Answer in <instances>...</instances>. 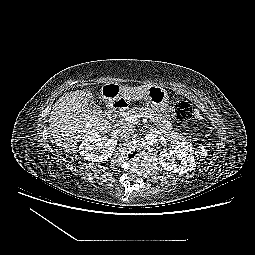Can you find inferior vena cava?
Segmentation results:
<instances>
[{
    "label": "inferior vena cava",
    "mask_w": 255,
    "mask_h": 255,
    "mask_svg": "<svg viewBox=\"0 0 255 255\" xmlns=\"http://www.w3.org/2000/svg\"><path fill=\"white\" fill-rule=\"evenodd\" d=\"M117 132L119 135H121L122 137H126V136H129V135H132L134 132H135V127L133 125H123V126H120L118 129H117Z\"/></svg>",
    "instance_id": "inferior-vena-cava-1"
}]
</instances>
